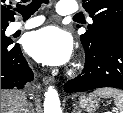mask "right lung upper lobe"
Returning <instances> with one entry per match:
<instances>
[{
	"instance_id": "cb5924a9",
	"label": "right lung upper lobe",
	"mask_w": 123,
	"mask_h": 113,
	"mask_svg": "<svg viewBox=\"0 0 123 113\" xmlns=\"http://www.w3.org/2000/svg\"><path fill=\"white\" fill-rule=\"evenodd\" d=\"M14 4L15 2L11 0H1V24L14 20Z\"/></svg>"
}]
</instances>
